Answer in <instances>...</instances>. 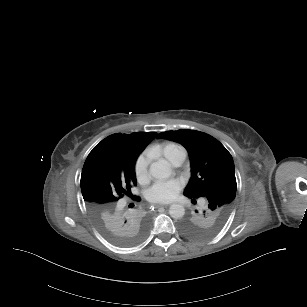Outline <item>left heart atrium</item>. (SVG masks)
<instances>
[{"label": "left heart atrium", "instance_id": "obj_1", "mask_svg": "<svg viewBox=\"0 0 307 307\" xmlns=\"http://www.w3.org/2000/svg\"><path fill=\"white\" fill-rule=\"evenodd\" d=\"M179 187L174 181H160L153 184L146 191L149 201L156 203H166L175 198Z\"/></svg>", "mask_w": 307, "mask_h": 307}]
</instances>
